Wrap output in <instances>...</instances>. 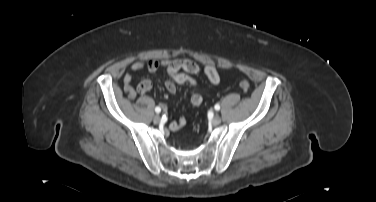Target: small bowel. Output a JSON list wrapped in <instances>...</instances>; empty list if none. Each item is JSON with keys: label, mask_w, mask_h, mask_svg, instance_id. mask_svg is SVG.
Instances as JSON below:
<instances>
[{"label": "small bowel", "mask_w": 376, "mask_h": 202, "mask_svg": "<svg viewBox=\"0 0 376 202\" xmlns=\"http://www.w3.org/2000/svg\"><path fill=\"white\" fill-rule=\"evenodd\" d=\"M144 68L151 73H155L161 68L166 69L169 79L165 82V89L170 95L175 94L177 85L190 84L196 88V81L191 75L202 73L213 85H218L221 80L219 73L213 66L206 65L201 68L198 64L189 59L134 61L130 66L131 72H138ZM151 87L152 83L150 80H143L134 87L132 85L131 74H126L123 77V91L131 100L135 99L138 95L146 93ZM202 101L203 96L199 92H195L191 97L193 107L200 106ZM185 124L186 120L181 118L178 121L172 122L170 128L173 131H178L184 127Z\"/></svg>", "instance_id": "obj_1"}]
</instances>
